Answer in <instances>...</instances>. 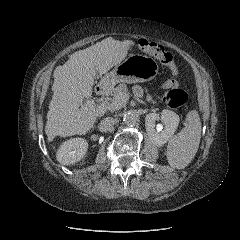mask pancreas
I'll list each match as a JSON object with an SVG mask.
<instances>
[{
  "label": "pancreas",
  "mask_w": 240,
  "mask_h": 240,
  "mask_svg": "<svg viewBox=\"0 0 240 240\" xmlns=\"http://www.w3.org/2000/svg\"><path fill=\"white\" fill-rule=\"evenodd\" d=\"M128 94V89H127V86L125 84H119L114 90H113V99L116 100L117 97H120V96H125ZM146 101L148 103H152V104H156V101L153 100L152 96L151 95H147L146 96ZM127 101L125 100H122V101H119V105L116 107V109H119L123 106H125Z\"/></svg>",
  "instance_id": "pancreas-1"
}]
</instances>
